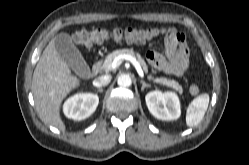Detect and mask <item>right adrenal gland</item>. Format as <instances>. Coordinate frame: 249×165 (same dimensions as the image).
I'll return each mask as SVG.
<instances>
[{
    "label": "right adrenal gland",
    "mask_w": 249,
    "mask_h": 165,
    "mask_svg": "<svg viewBox=\"0 0 249 165\" xmlns=\"http://www.w3.org/2000/svg\"><path fill=\"white\" fill-rule=\"evenodd\" d=\"M97 92L102 93V92H103V89H102V88H99V89H97Z\"/></svg>",
    "instance_id": "right-adrenal-gland-1"
}]
</instances>
